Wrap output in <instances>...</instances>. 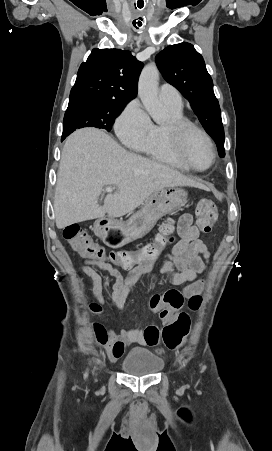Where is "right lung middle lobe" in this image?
I'll return each instance as SVG.
<instances>
[{
    "label": "right lung middle lobe",
    "instance_id": "dd1d6c3e",
    "mask_svg": "<svg viewBox=\"0 0 272 451\" xmlns=\"http://www.w3.org/2000/svg\"><path fill=\"white\" fill-rule=\"evenodd\" d=\"M127 103L100 100L71 102L63 121L62 140L79 128L96 127L110 131Z\"/></svg>",
    "mask_w": 272,
    "mask_h": 451
}]
</instances>
